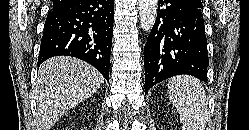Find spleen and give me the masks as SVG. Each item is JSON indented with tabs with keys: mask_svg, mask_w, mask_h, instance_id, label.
<instances>
[{
	"mask_svg": "<svg viewBox=\"0 0 249 130\" xmlns=\"http://www.w3.org/2000/svg\"><path fill=\"white\" fill-rule=\"evenodd\" d=\"M168 95L180 115L183 130H205L208 121L207 99L197 78L182 75L169 79Z\"/></svg>",
	"mask_w": 249,
	"mask_h": 130,
	"instance_id": "1",
	"label": "spleen"
}]
</instances>
